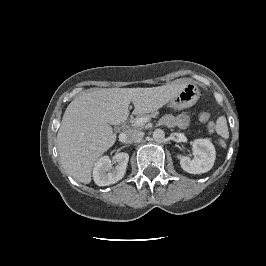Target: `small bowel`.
Masks as SVG:
<instances>
[{"mask_svg": "<svg viewBox=\"0 0 266 266\" xmlns=\"http://www.w3.org/2000/svg\"><path fill=\"white\" fill-rule=\"evenodd\" d=\"M164 123L168 126L186 127L189 123V117L186 114H181L178 116L167 115L164 118Z\"/></svg>", "mask_w": 266, "mask_h": 266, "instance_id": "c3829d8e", "label": "small bowel"}]
</instances>
